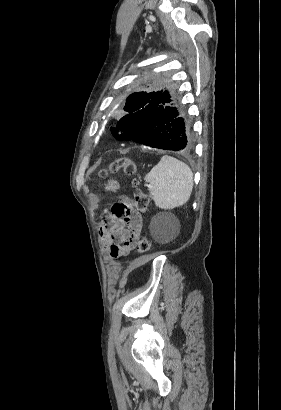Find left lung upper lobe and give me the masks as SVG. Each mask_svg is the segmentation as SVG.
Wrapping results in <instances>:
<instances>
[{"instance_id": "5c2ea615", "label": "left lung upper lobe", "mask_w": 281, "mask_h": 410, "mask_svg": "<svg viewBox=\"0 0 281 410\" xmlns=\"http://www.w3.org/2000/svg\"><path fill=\"white\" fill-rule=\"evenodd\" d=\"M167 85H168V80L166 78L159 77V78L153 79L151 82L145 85L144 87L145 91L135 92L127 98L124 110L126 112H129V114H133L137 112L138 110L142 109L148 104L151 97L156 92L165 89ZM111 132L115 138L119 136V133L116 127H112Z\"/></svg>"}]
</instances>
